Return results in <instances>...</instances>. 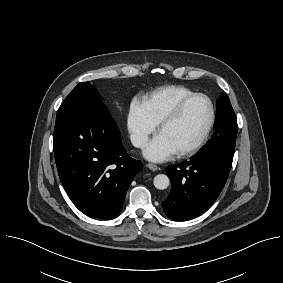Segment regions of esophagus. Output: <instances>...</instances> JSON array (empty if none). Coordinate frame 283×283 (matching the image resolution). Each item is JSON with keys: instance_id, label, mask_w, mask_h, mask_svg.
<instances>
[{"instance_id": "1", "label": "esophagus", "mask_w": 283, "mask_h": 283, "mask_svg": "<svg viewBox=\"0 0 283 283\" xmlns=\"http://www.w3.org/2000/svg\"><path fill=\"white\" fill-rule=\"evenodd\" d=\"M147 167L152 171H156L158 169V166L152 163L147 164Z\"/></svg>"}]
</instances>
